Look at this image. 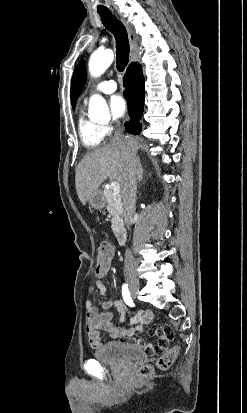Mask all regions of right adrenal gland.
Here are the masks:
<instances>
[{
	"label": "right adrenal gland",
	"instance_id": "obj_1",
	"mask_svg": "<svg viewBox=\"0 0 247 413\" xmlns=\"http://www.w3.org/2000/svg\"><path fill=\"white\" fill-rule=\"evenodd\" d=\"M138 178H139V180H142V178H143V168H141V170L138 174Z\"/></svg>",
	"mask_w": 247,
	"mask_h": 413
}]
</instances>
